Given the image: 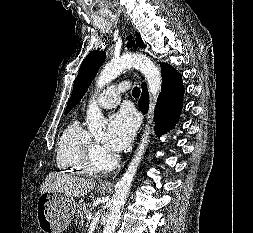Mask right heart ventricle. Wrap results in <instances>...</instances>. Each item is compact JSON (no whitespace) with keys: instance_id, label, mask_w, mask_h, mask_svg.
Here are the masks:
<instances>
[{"instance_id":"right-heart-ventricle-1","label":"right heart ventricle","mask_w":253,"mask_h":233,"mask_svg":"<svg viewBox=\"0 0 253 233\" xmlns=\"http://www.w3.org/2000/svg\"><path fill=\"white\" fill-rule=\"evenodd\" d=\"M91 134L79 119L73 120L62 132L56 147V166L63 173L82 175L90 172L84 162L85 149Z\"/></svg>"}]
</instances>
